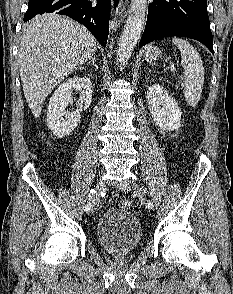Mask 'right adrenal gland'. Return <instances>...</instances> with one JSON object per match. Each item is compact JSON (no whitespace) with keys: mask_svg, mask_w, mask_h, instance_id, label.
Returning <instances> with one entry per match:
<instances>
[{"mask_svg":"<svg viewBox=\"0 0 233 294\" xmlns=\"http://www.w3.org/2000/svg\"><path fill=\"white\" fill-rule=\"evenodd\" d=\"M95 60L96 57H93L88 63L87 65H93L95 67V69H98V66L95 64Z\"/></svg>","mask_w":233,"mask_h":294,"instance_id":"right-adrenal-gland-1","label":"right adrenal gland"}]
</instances>
